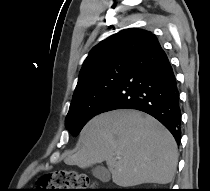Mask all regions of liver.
Returning <instances> with one entry per match:
<instances>
[{
    "label": "liver",
    "mask_w": 210,
    "mask_h": 191,
    "mask_svg": "<svg viewBox=\"0 0 210 191\" xmlns=\"http://www.w3.org/2000/svg\"><path fill=\"white\" fill-rule=\"evenodd\" d=\"M79 148L64 162L87 168L106 161L121 187L167 184L178 162L177 144L156 119L136 110H114L92 118L81 131ZM120 158H116V154Z\"/></svg>",
    "instance_id": "obj_1"
}]
</instances>
